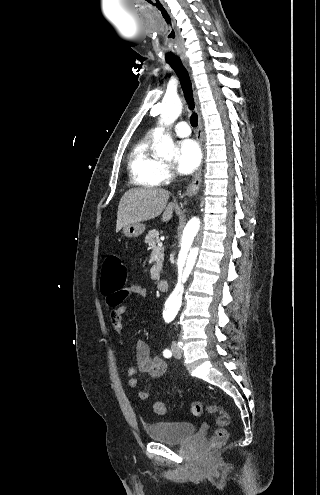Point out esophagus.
I'll list each match as a JSON object with an SVG mask.
<instances>
[{"instance_id": "esophagus-1", "label": "esophagus", "mask_w": 320, "mask_h": 495, "mask_svg": "<svg viewBox=\"0 0 320 495\" xmlns=\"http://www.w3.org/2000/svg\"><path fill=\"white\" fill-rule=\"evenodd\" d=\"M194 95H195L196 104H197L196 94L194 93ZM196 109H197V113H198L197 139H198V142H199L200 147H201L202 152H203L204 151L203 123H202V117H201V113L199 111L198 105H197ZM201 181H202V166L199 168V170L194 175L193 181L186 188V195L192 196V195L196 194L200 188Z\"/></svg>"}]
</instances>
